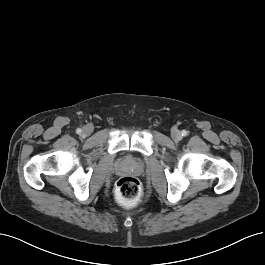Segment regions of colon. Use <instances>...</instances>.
<instances>
[{"mask_svg": "<svg viewBox=\"0 0 265 265\" xmlns=\"http://www.w3.org/2000/svg\"><path fill=\"white\" fill-rule=\"evenodd\" d=\"M117 195L126 202H134L141 195V186L134 177H122L116 184Z\"/></svg>", "mask_w": 265, "mask_h": 265, "instance_id": "5ec220e1", "label": "colon"}]
</instances>
